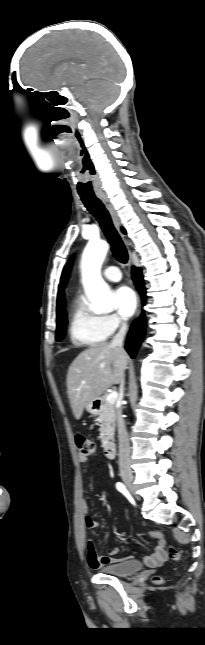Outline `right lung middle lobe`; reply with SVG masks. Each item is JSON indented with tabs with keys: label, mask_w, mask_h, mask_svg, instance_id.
<instances>
[{
	"label": "right lung middle lobe",
	"mask_w": 205,
	"mask_h": 645,
	"mask_svg": "<svg viewBox=\"0 0 205 645\" xmlns=\"http://www.w3.org/2000/svg\"><path fill=\"white\" fill-rule=\"evenodd\" d=\"M67 325L66 312L64 311L59 318H57L56 340L61 341L65 334V327Z\"/></svg>",
	"instance_id": "right-lung-middle-lobe-1"
}]
</instances>
